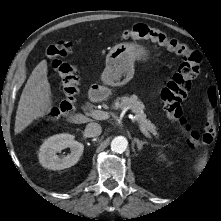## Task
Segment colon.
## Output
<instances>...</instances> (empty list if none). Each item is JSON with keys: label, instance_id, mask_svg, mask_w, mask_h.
I'll return each mask as SVG.
<instances>
[{"label": "colon", "instance_id": "obj_1", "mask_svg": "<svg viewBox=\"0 0 221 221\" xmlns=\"http://www.w3.org/2000/svg\"><path fill=\"white\" fill-rule=\"evenodd\" d=\"M119 38L122 40H148L181 57L182 62L177 72L161 91L165 112L169 119L178 125L189 146L196 147L212 143L215 138L213 105L208 106L207 121L202 132L192 128L185 118L181 106L182 101L191 90L193 80L199 74L202 54L191 49L185 43L168 37L160 30L143 24H137L126 29L119 34ZM71 45L68 41H60L49 46L46 51L52 60L53 69L61 77L65 94V100L48 112L47 117L51 120L73 113L76 97L79 93V70L66 60Z\"/></svg>", "mask_w": 221, "mask_h": 221}]
</instances>
